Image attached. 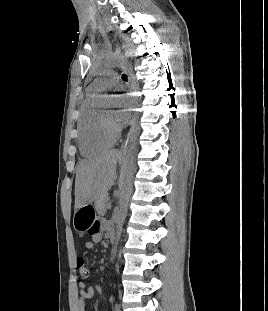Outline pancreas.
Segmentation results:
<instances>
[{
  "instance_id": "obj_1",
  "label": "pancreas",
  "mask_w": 268,
  "mask_h": 311,
  "mask_svg": "<svg viewBox=\"0 0 268 311\" xmlns=\"http://www.w3.org/2000/svg\"><path fill=\"white\" fill-rule=\"evenodd\" d=\"M110 205L109 197L106 194L95 200V209L98 214H104Z\"/></svg>"
}]
</instances>
